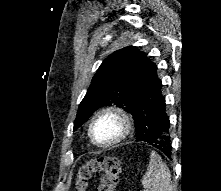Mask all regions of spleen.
Returning a JSON list of instances; mask_svg holds the SVG:
<instances>
[{
  "instance_id": "spleen-1",
  "label": "spleen",
  "mask_w": 221,
  "mask_h": 191,
  "mask_svg": "<svg viewBox=\"0 0 221 191\" xmlns=\"http://www.w3.org/2000/svg\"><path fill=\"white\" fill-rule=\"evenodd\" d=\"M146 191H172L171 174L161 157L152 152L147 172L142 178Z\"/></svg>"
}]
</instances>
